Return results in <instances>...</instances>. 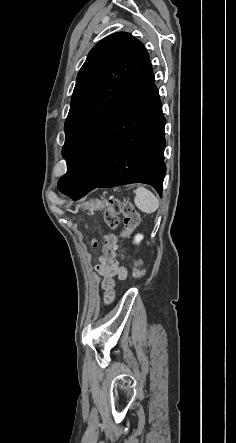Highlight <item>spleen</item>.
<instances>
[{"label": "spleen", "instance_id": "3e777b00", "mask_svg": "<svg viewBox=\"0 0 236 443\" xmlns=\"http://www.w3.org/2000/svg\"><path fill=\"white\" fill-rule=\"evenodd\" d=\"M134 193V203L139 210L144 213L151 214L158 209L159 200L150 190L144 187H138L136 190H134Z\"/></svg>", "mask_w": 236, "mask_h": 443}]
</instances>
